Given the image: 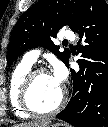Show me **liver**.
<instances>
[{"instance_id": "liver-1", "label": "liver", "mask_w": 108, "mask_h": 127, "mask_svg": "<svg viewBox=\"0 0 108 127\" xmlns=\"http://www.w3.org/2000/svg\"><path fill=\"white\" fill-rule=\"evenodd\" d=\"M49 123H50L49 120H40V121L17 124L13 127H46Z\"/></svg>"}]
</instances>
